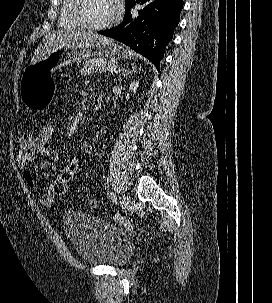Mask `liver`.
Instances as JSON below:
<instances>
[{
  "label": "liver",
  "instance_id": "liver-1",
  "mask_svg": "<svg viewBox=\"0 0 272 303\" xmlns=\"http://www.w3.org/2000/svg\"><path fill=\"white\" fill-rule=\"evenodd\" d=\"M110 40L107 37L87 31H56L49 34L35 50L31 63L41 61L52 52L61 48L92 45L100 41Z\"/></svg>",
  "mask_w": 272,
  "mask_h": 303
}]
</instances>
